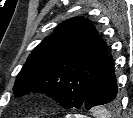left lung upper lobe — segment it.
<instances>
[{"mask_svg": "<svg viewBox=\"0 0 133 118\" xmlns=\"http://www.w3.org/2000/svg\"><path fill=\"white\" fill-rule=\"evenodd\" d=\"M108 58L107 45L91 22L82 18L66 20L29 55L13 92L16 96L41 92L66 109L84 107ZM118 104L112 102L107 108L114 111Z\"/></svg>", "mask_w": 133, "mask_h": 118, "instance_id": "obj_1", "label": "left lung upper lobe"}]
</instances>
